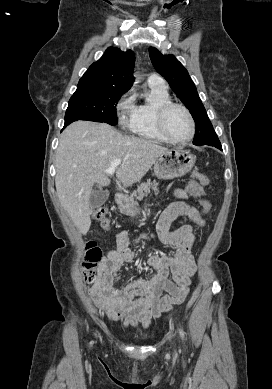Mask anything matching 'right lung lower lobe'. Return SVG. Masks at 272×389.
Masks as SVG:
<instances>
[{"instance_id":"obj_1","label":"right lung lower lobe","mask_w":272,"mask_h":389,"mask_svg":"<svg viewBox=\"0 0 272 389\" xmlns=\"http://www.w3.org/2000/svg\"><path fill=\"white\" fill-rule=\"evenodd\" d=\"M73 121H74L73 119L65 120V124H64L63 129H64L67 125H69L70 123H72Z\"/></svg>"}]
</instances>
